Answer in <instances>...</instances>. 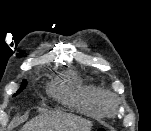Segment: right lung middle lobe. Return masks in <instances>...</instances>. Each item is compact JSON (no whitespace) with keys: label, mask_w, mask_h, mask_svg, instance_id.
<instances>
[{"label":"right lung middle lobe","mask_w":151,"mask_h":131,"mask_svg":"<svg viewBox=\"0 0 151 131\" xmlns=\"http://www.w3.org/2000/svg\"><path fill=\"white\" fill-rule=\"evenodd\" d=\"M26 84H27L26 80H23L21 88L17 91V94L20 93L26 87ZM17 94H15L14 96H16Z\"/></svg>","instance_id":"obj_1"}]
</instances>
